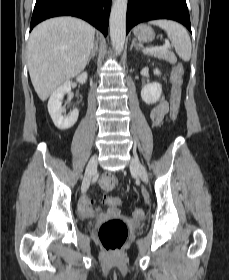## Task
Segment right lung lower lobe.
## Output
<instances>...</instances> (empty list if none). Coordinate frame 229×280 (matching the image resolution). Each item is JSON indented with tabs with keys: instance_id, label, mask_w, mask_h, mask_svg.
I'll return each mask as SVG.
<instances>
[{
	"instance_id": "1",
	"label": "right lung lower lobe",
	"mask_w": 229,
	"mask_h": 280,
	"mask_svg": "<svg viewBox=\"0 0 229 280\" xmlns=\"http://www.w3.org/2000/svg\"><path fill=\"white\" fill-rule=\"evenodd\" d=\"M110 8L111 0H37L30 30L51 17L75 16L86 20L106 36Z\"/></svg>"
}]
</instances>
